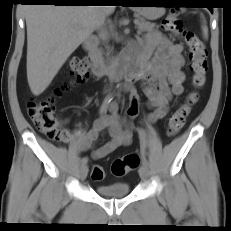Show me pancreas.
Wrapping results in <instances>:
<instances>
[{"label":"pancreas","instance_id":"1","mask_svg":"<svg viewBox=\"0 0 231 231\" xmlns=\"http://www.w3.org/2000/svg\"><path fill=\"white\" fill-rule=\"evenodd\" d=\"M155 27V23L148 22L143 18H140L139 23L137 24L138 32L140 33L153 31Z\"/></svg>","mask_w":231,"mask_h":231}]
</instances>
